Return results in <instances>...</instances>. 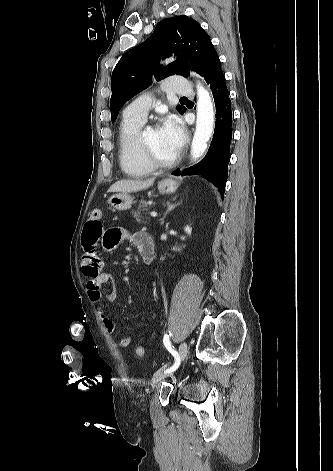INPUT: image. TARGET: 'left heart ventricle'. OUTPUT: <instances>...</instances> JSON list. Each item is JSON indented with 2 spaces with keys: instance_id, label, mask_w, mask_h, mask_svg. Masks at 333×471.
<instances>
[{
  "instance_id": "1",
  "label": "left heart ventricle",
  "mask_w": 333,
  "mask_h": 471,
  "mask_svg": "<svg viewBox=\"0 0 333 471\" xmlns=\"http://www.w3.org/2000/svg\"><path fill=\"white\" fill-rule=\"evenodd\" d=\"M143 139L149 150L159 159L167 161L176 156L165 144L159 128L148 130Z\"/></svg>"
}]
</instances>
